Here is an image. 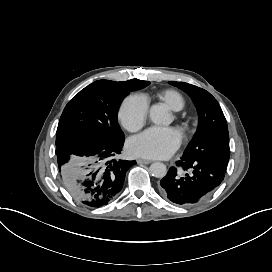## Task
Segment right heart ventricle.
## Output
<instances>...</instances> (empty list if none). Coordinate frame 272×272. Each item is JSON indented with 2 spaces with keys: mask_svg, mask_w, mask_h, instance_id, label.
I'll list each match as a JSON object with an SVG mask.
<instances>
[{
  "mask_svg": "<svg viewBox=\"0 0 272 272\" xmlns=\"http://www.w3.org/2000/svg\"><path fill=\"white\" fill-rule=\"evenodd\" d=\"M161 98L173 110H180L183 108L184 105L183 98L180 96V94H178L175 91L167 90L162 94Z\"/></svg>",
  "mask_w": 272,
  "mask_h": 272,
  "instance_id": "e07e8e85",
  "label": "right heart ventricle"
}]
</instances>
